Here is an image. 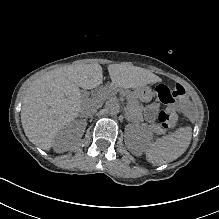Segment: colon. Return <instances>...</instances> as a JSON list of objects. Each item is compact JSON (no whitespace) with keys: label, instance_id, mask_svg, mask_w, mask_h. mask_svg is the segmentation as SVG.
<instances>
[{"label":"colon","instance_id":"5ec220e1","mask_svg":"<svg viewBox=\"0 0 219 219\" xmlns=\"http://www.w3.org/2000/svg\"><path fill=\"white\" fill-rule=\"evenodd\" d=\"M172 97L173 99L183 100L187 98L186 91L183 86L176 85L174 90L172 91ZM158 120L160 123V126L164 130L172 129L176 125L177 121V114L176 110L173 107H167L165 110H162L158 114Z\"/></svg>","mask_w":219,"mask_h":219}]
</instances>
